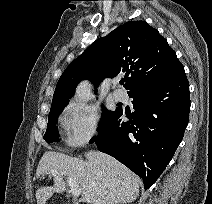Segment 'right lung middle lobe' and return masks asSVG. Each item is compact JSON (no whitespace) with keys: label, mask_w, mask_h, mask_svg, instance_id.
Here are the masks:
<instances>
[{"label":"right lung middle lobe","mask_w":212,"mask_h":204,"mask_svg":"<svg viewBox=\"0 0 212 204\" xmlns=\"http://www.w3.org/2000/svg\"><path fill=\"white\" fill-rule=\"evenodd\" d=\"M66 105L52 107L50 109L49 117H48V125L47 131L44 135V139L47 143L49 142H58L60 139L58 138V130H57V118L59 114L62 112ZM120 110L117 108L115 111H109L105 107H103V115L99 124L98 130H101L105 125L113 118V116Z\"/></svg>","instance_id":"right-lung-middle-lobe-1"}]
</instances>
